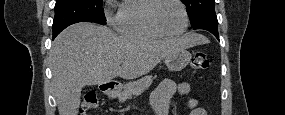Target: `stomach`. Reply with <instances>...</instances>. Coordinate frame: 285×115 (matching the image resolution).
<instances>
[{"mask_svg":"<svg viewBox=\"0 0 285 115\" xmlns=\"http://www.w3.org/2000/svg\"><path fill=\"white\" fill-rule=\"evenodd\" d=\"M191 54L185 49L178 50L171 55L165 57V64L170 71H181L185 68L191 60ZM121 87H115L106 91L110 98L119 97L121 94Z\"/></svg>","mask_w":285,"mask_h":115,"instance_id":"stomach-1","label":"stomach"}]
</instances>
